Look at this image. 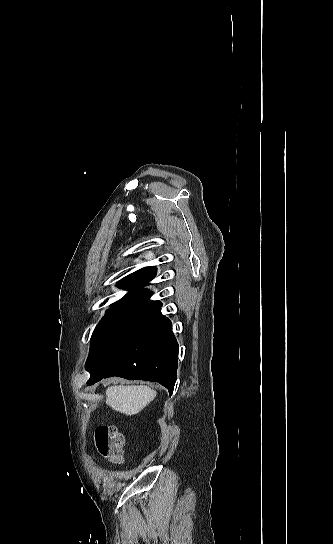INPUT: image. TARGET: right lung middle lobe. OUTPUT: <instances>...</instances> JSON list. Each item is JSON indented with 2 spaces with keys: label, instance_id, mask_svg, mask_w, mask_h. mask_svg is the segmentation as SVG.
I'll return each instance as SVG.
<instances>
[{
  "label": "right lung middle lobe",
  "instance_id": "1",
  "mask_svg": "<svg viewBox=\"0 0 333 544\" xmlns=\"http://www.w3.org/2000/svg\"><path fill=\"white\" fill-rule=\"evenodd\" d=\"M162 304L145 299L120 300L95 328L86 367L102 363L145 332L160 316Z\"/></svg>",
  "mask_w": 333,
  "mask_h": 544
}]
</instances>
